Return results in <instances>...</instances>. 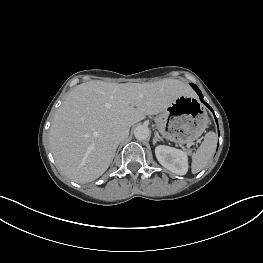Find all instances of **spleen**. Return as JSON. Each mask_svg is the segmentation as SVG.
I'll use <instances>...</instances> for the list:
<instances>
[{
  "mask_svg": "<svg viewBox=\"0 0 263 263\" xmlns=\"http://www.w3.org/2000/svg\"><path fill=\"white\" fill-rule=\"evenodd\" d=\"M216 143V134L214 132H208L199 149L192 155V173H198L206 166L214 153Z\"/></svg>",
  "mask_w": 263,
  "mask_h": 263,
  "instance_id": "3e777b00",
  "label": "spleen"
}]
</instances>
